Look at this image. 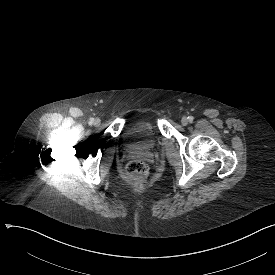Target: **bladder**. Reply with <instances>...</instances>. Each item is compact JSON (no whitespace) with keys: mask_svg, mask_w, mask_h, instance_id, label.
I'll return each mask as SVG.
<instances>
[{"mask_svg":"<svg viewBox=\"0 0 275 275\" xmlns=\"http://www.w3.org/2000/svg\"><path fill=\"white\" fill-rule=\"evenodd\" d=\"M123 135L127 143L135 146L138 152L148 153L155 150L159 131L153 120H139L128 125Z\"/></svg>","mask_w":275,"mask_h":275,"instance_id":"31cf9c89","label":"bladder"}]
</instances>
